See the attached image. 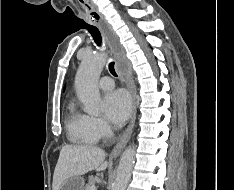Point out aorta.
I'll return each mask as SVG.
<instances>
[{
	"label": "aorta",
	"instance_id": "762f6f07",
	"mask_svg": "<svg viewBox=\"0 0 234 190\" xmlns=\"http://www.w3.org/2000/svg\"><path fill=\"white\" fill-rule=\"evenodd\" d=\"M106 58L103 53L86 55L78 68L75 77V87L78 98L83 103L84 111L96 114L100 110L101 96L98 80L105 66ZM135 162V148L129 146L123 152L111 190H125L131 177Z\"/></svg>",
	"mask_w": 234,
	"mask_h": 190
}]
</instances>
